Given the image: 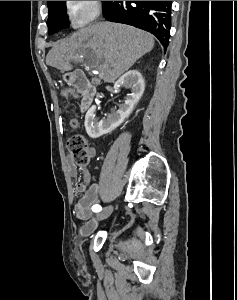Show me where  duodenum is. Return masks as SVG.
Returning <instances> with one entry per match:
<instances>
[{"label": "duodenum", "instance_id": "obj_1", "mask_svg": "<svg viewBox=\"0 0 237 300\" xmlns=\"http://www.w3.org/2000/svg\"><path fill=\"white\" fill-rule=\"evenodd\" d=\"M68 83L81 95V109L84 111L91 105L96 88L90 83L82 71L75 70L67 77Z\"/></svg>", "mask_w": 237, "mask_h": 300}]
</instances>
